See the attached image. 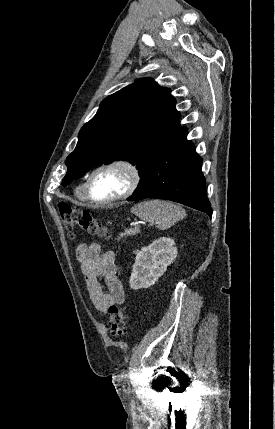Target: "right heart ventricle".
Returning a JSON list of instances; mask_svg holds the SVG:
<instances>
[{"instance_id": "right-heart-ventricle-1", "label": "right heart ventricle", "mask_w": 275, "mask_h": 429, "mask_svg": "<svg viewBox=\"0 0 275 429\" xmlns=\"http://www.w3.org/2000/svg\"><path fill=\"white\" fill-rule=\"evenodd\" d=\"M86 182V181H85ZM85 182H82L76 189V194L77 197L81 200H85V194H84V190H85Z\"/></svg>"}]
</instances>
